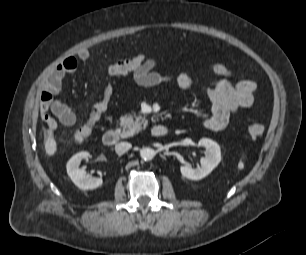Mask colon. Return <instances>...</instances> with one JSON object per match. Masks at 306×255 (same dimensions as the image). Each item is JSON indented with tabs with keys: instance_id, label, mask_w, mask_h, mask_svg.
<instances>
[{
	"instance_id": "1",
	"label": "colon",
	"mask_w": 306,
	"mask_h": 255,
	"mask_svg": "<svg viewBox=\"0 0 306 255\" xmlns=\"http://www.w3.org/2000/svg\"><path fill=\"white\" fill-rule=\"evenodd\" d=\"M146 60L147 57L143 54L115 60L108 66V73L113 76L132 73L134 70L141 67ZM110 98L111 87L106 85L103 89L100 100L92 106L87 122L75 132L74 138L77 142H83L91 135L95 125L106 111ZM247 132L251 137L257 138L264 133V127L259 123H251L247 126Z\"/></svg>"
}]
</instances>
